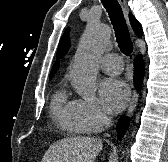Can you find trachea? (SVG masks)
I'll list each match as a JSON object with an SVG mask.
<instances>
[{
  "instance_id": "obj_1",
  "label": "trachea",
  "mask_w": 168,
  "mask_h": 162,
  "mask_svg": "<svg viewBox=\"0 0 168 162\" xmlns=\"http://www.w3.org/2000/svg\"><path fill=\"white\" fill-rule=\"evenodd\" d=\"M101 2L109 14L121 52L126 56H131L133 43L121 6L117 0H101Z\"/></svg>"
}]
</instances>
